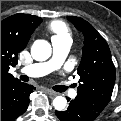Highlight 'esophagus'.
<instances>
[{"instance_id": "1", "label": "esophagus", "mask_w": 121, "mask_h": 121, "mask_svg": "<svg viewBox=\"0 0 121 121\" xmlns=\"http://www.w3.org/2000/svg\"><path fill=\"white\" fill-rule=\"evenodd\" d=\"M45 91L49 94V95H52V96H56L58 93L55 92V91H52L50 89H45Z\"/></svg>"}]
</instances>
